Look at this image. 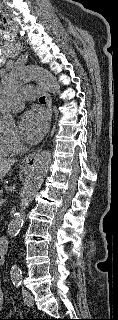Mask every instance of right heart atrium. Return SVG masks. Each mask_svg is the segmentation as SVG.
<instances>
[{
    "label": "right heart atrium",
    "instance_id": "right-heart-atrium-1",
    "mask_svg": "<svg viewBox=\"0 0 118 320\" xmlns=\"http://www.w3.org/2000/svg\"><path fill=\"white\" fill-rule=\"evenodd\" d=\"M9 142L13 150H18L21 147L20 142L16 138H9Z\"/></svg>",
    "mask_w": 118,
    "mask_h": 320
}]
</instances>
